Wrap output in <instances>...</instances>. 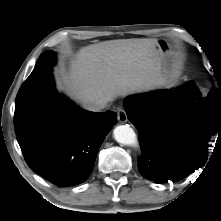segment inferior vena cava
Instances as JSON below:
<instances>
[{"mask_svg":"<svg viewBox=\"0 0 221 221\" xmlns=\"http://www.w3.org/2000/svg\"><path fill=\"white\" fill-rule=\"evenodd\" d=\"M109 100L107 98H101L94 102H90L84 105V108L93 111V112H99L103 109H105L108 106Z\"/></svg>","mask_w":221,"mask_h":221,"instance_id":"obj_1","label":"inferior vena cava"}]
</instances>
